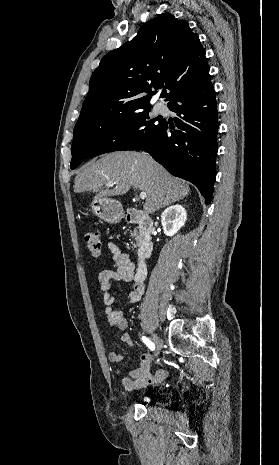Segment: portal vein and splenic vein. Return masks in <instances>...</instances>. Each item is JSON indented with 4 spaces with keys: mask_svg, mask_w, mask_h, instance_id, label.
I'll return each instance as SVG.
<instances>
[{
    "mask_svg": "<svg viewBox=\"0 0 279 465\" xmlns=\"http://www.w3.org/2000/svg\"><path fill=\"white\" fill-rule=\"evenodd\" d=\"M107 186H108V187H111V186H113V183H112V182H109V183L107 184ZM139 197H140V199L145 200L146 197H147V194H146L145 192H141L140 195H139Z\"/></svg>",
    "mask_w": 279,
    "mask_h": 465,
    "instance_id": "portal-vein-and-splenic-vein-1",
    "label": "portal vein and splenic vein"
}]
</instances>
